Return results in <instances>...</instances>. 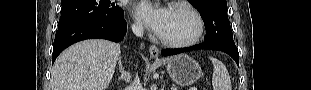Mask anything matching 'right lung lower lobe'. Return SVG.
Here are the masks:
<instances>
[{"mask_svg": "<svg viewBox=\"0 0 311 90\" xmlns=\"http://www.w3.org/2000/svg\"><path fill=\"white\" fill-rule=\"evenodd\" d=\"M127 30L124 17L117 20H84L58 28L52 54V62L68 46L84 39L101 38L114 42L123 40Z\"/></svg>", "mask_w": 311, "mask_h": 90, "instance_id": "1", "label": "right lung lower lobe"}]
</instances>
